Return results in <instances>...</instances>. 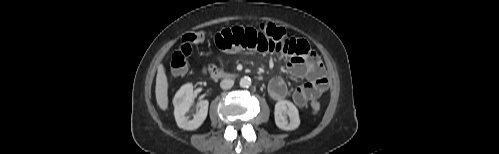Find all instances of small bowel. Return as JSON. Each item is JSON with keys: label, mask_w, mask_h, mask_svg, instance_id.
Here are the masks:
<instances>
[{"label": "small bowel", "mask_w": 499, "mask_h": 154, "mask_svg": "<svg viewBox=\"0 0 499 154\" xmlns=\"http://www.w3.org/2000/svg\"><path fill=\"white\" fill-rule=\"evenodd\" d=\"M215 43L227 53L251 50L287 56L289 73L296 78L306 79L292 93V100L299 108L317 100L329 87L324 66L306 40L289 36L285 41H275L255 28L235 26L220 31L215 37ZM268 91L276 101L284 100L289 94L288 86L280 76L270 80Z\"/></svg>", "instance_id": "small-bowel-1"}]
</instances>
